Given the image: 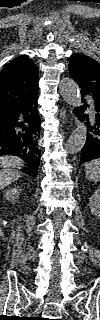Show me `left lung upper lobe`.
I'll return each mask as SVG.
<instances>
[{
	"mask_svg": "<svg viewBox=\"0 0 100 320\" xmlns=\"http://www.w3.org/2000/svg\"><path fill=\"white\" fill-rule=\"evenodd\" d=\"M68 70L80 88L100 98V65L97 61L87 55L76 53L70 57Z\"/></svg>",
	"mask_w": 100,
	"mask_h": 320,
	"instance_id": "obj_1",
	"label": "left lung upper lobe"
}]
</instances>
